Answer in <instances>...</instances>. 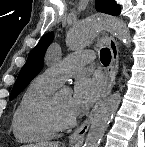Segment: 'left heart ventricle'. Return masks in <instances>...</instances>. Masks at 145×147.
Listing matches in <instances>:
<instances>
[{
	"label": "left heart ventricle",
	"instance_id": "b2bd125f",
	"mask_svg": "<svg viewBox=\"0 0 145 147\" xmlns=\"http://www.w3.org/2000/svg\"><path fill=\"white\" fill-rule=\"evenodd\" d=\"M56 102L60 110L66 115H72L70 111L71 95L64 94L56 97Z\"/></svg>",
	"mask_w": 145,
	"mask_h": 147
}]
</instances>
